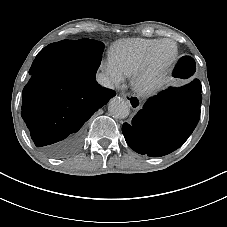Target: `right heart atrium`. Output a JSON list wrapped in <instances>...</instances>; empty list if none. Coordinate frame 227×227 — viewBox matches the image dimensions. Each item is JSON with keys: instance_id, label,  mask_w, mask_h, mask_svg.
<instances>
[{"instance_id": "d8ad5b80", "label": "right heart atrium", "mask_w": 227, "mask_h": 227, "mask_svg": "<svg viewBox=\"0 0 227 227\" xmlns=\"http://www.w3.org/2000/svg\"><path fill=\"white\" fill-rule=\"evenodd\" d=\"M101 70L111 88L119 87L126 78L125 71L110 59L101 63Z\"/></svg>"}]
</instances>
